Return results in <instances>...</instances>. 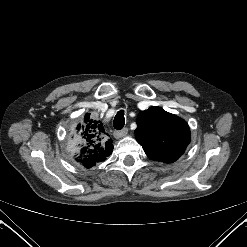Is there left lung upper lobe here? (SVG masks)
<instances>
[{"label": "left lung upper lobe", "instance_id": "obj_1", "mask_svg": "<svg viewBox=\"0 0 247 247\" xmlns=\"http://www.w3.org/2000/svg\"><path fill=\"white\" fill-rule=\"evenodd\" d=\"M136 123V140L152 160L173 163L190 143L188 124L160 107L140 112Z\"/></svg>", "mask_w": 247, "mask_h": 247}]
</instances>
